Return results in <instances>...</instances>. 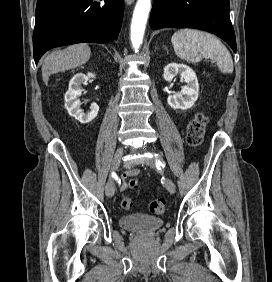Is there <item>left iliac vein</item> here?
<instances>
[{
    "mask_svg": "<svg viewBox=\"0 0 272 282\" xmlns=\"http://www.w3.org/2000/svg\"><path fill=\"white\" fill-rule=\"evenodd\" d=\"M147 165L150 166V167H156L161 172H163V170H164L163 166L160 163V160H158V159L156 160V164L152 163L150 161H147ZM165 187L170 193H174L175 190H176L175 184L170 178H166Z\"/></svg>",
    "mask_w": 272,
    "mask_h": 282,
    "instance_id": "left-iliac-vein-1",
    "label": "left iliac vein"
}]
</instances>
